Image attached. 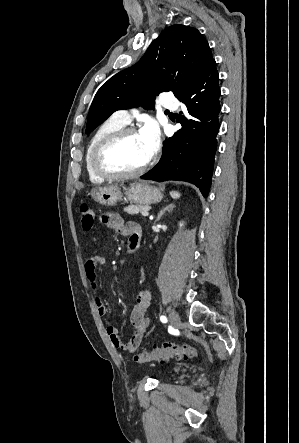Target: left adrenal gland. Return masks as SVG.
Returning a JSON list of instances; mask_svg holds the SVG:
<instances>
[{
    "label": "left adrenal gland",
    "mask_w": 299,
    "mask_h": 443,
    "mask_svg": "<svg viewBox=\"0 0 299 443\" xmlns=\"http://www.w3.org/2000/svg\"><path fill=\"white\" fill-rule=\"evenodd\" d=\"M174 207H175L174 204H169V205L165 206L164 208H162V210H160V212H159V214H158V216H157L156 222L159 221V220L161 219L162 215H163L166 211H171Z\"/></svg>",
    "instance_id": "1"
}]
</instances>
